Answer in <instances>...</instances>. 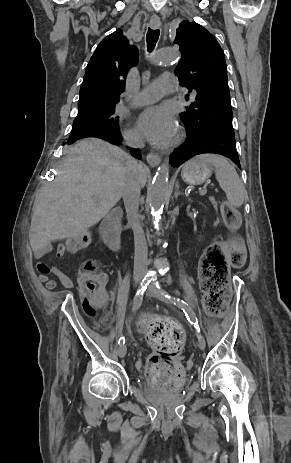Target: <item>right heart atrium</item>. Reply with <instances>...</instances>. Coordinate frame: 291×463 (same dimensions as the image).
Wrapping results in <instances>:
<instances>
[{"instance_id": "1", "label": "right heart atrium", "mask_w": 291, "mask_h": 463, "mask_svg": "<svg viewBox=\"0 0 291 463\" xmlns=\"http://www.w3.org/2000/svg\"><path fill=\"white\" fill-rule=\"evenodd\" d=\"M126 137L132 142H138L140 140V136L135 129L127 130Z\"/></svg>"}]
</instances>
